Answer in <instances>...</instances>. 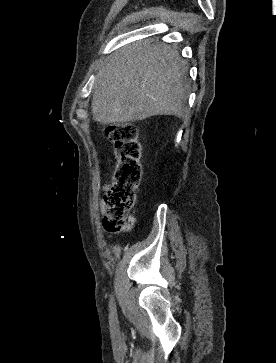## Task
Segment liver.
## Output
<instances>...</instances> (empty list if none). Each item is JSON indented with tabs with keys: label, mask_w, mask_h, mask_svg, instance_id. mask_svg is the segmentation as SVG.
<instances>
[{
	"label": "liver",
	"mask_w": 276,
	"mask_h": 363,
	"mask_svg": "<svg viewBox=\"0 0 276 363\" xmlns=\"http://www.w3.org/2000/svg\"><path fill=\"white\" fill-rule=\"evenodd\" d=\"M179 52L147 39L111 54L99 69L91 111L102 124L143 120L154 115L184 117L189 83Z\"/></svg>",
	"instance_id": "1"
}]
</instances>
